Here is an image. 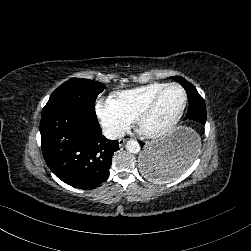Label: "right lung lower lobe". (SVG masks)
Returning <instances> with one entry per match:
<instances>
[{
    "label": "right lung lower lobe",
    "instance_id": "right-lung-lower-lobe-1",
    "mask_svg": "<svg viewBox=\"0 0 251 251\" xmlns=\"http://www.w3.org/2000/svg\"><path fill=\"white\" fill-rule=\"evenodd\" d=\"M40 133L44 159L63 182L92 189L108 177L119 143L102 135L94 109L74 104L45 106Z\"/></svg>",
    "mask_w": 251,
    "mask_h": 251
}]
</instances>
